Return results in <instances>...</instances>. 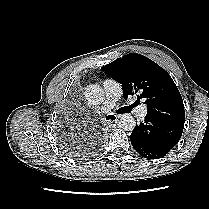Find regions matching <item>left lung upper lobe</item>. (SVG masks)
Segmentation results:
<instances>
[{"label":"left lung upper lobe","mask_w":209,"mask_h":209,"mask_svg":"<svg viewBox=\"0 0 209 209\" xmlns=\"http://www.w3.org/2000/svg\"><path fill=\"white\" fill-rule=\"evenodd\" d=\"M122 85L123 97L134 93L147 104V116L184 127L185 112L180 92L171 76L149 58L130 53L103 66Z\"/></svg>","instance_id":"obj_1"}]
</instances>
